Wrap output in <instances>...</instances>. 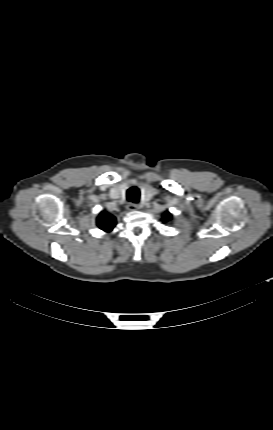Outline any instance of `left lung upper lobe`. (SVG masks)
<instances>
[{"mask_svg": "<svg viewBox=\"0 0 273 430\" xmlns=\"http://www.w3.org/2000/svg\"><path fill=\"white\" fill-rule=\"evenodd\" d=\"M171 217H172V214L169 212H166L163 214L162 220H163V222H168L169 220H171Z\"/></svg>", "mask_w": 273, "mask_h": 430, "instance_id": "1", "label": "left lung upper lobe"}]
</instances>
